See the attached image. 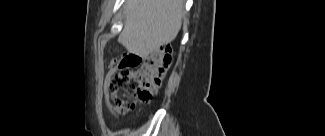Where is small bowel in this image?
I'll use <instances>...</instances> for the list:
<instances>
[{
    "instance_id": "c3829d8e",
    "label": "small bowel",
    "mask_w": 325,
    "mask_h": 136,
    "mask_svg": "<svg viewBox=\"0 0 325 136\" xmlns=\"http://www.w3.org/2000/svg\"><path fill=\"white\" fill-rule=\"evenodd\" d=\"M143 57L139 53H122L120 62L113 60L109 65V70L106 76L104 89L109 91L103 92L104 98H113L114 93L118 92L121 83H126L128 75L138 68V64H143ZM107 107L111 109V104L107 100Z\"/></svg>"
}]
</instances>
